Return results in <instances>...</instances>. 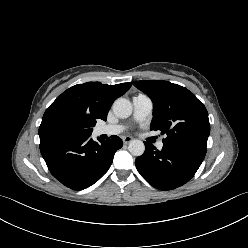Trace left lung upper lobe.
<instances>
[{"label":"left lung upper lobe","instance_id":"obj_1","mask_svg":"<svg viewBox=\"0 0 248 248\" xmlns=\"http://www.w3.org/2000/svg\"><path fill=\"white\" fill-rule=\"evenodd\" d=\"M153 102L151 130L166 134L163 144L206 148L210 133L208 112L185 87L162 80L134 81Z\"/></svg>","mask_w":248,"mask_h":248}]
</instances>
